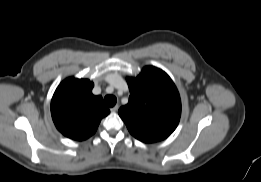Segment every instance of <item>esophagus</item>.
I'll return each mask as SVG.
<instances>
[{
  "label": "esophagus",
  "instance_id": "esophagus-1",
  "mask_svg": "<svg viewBox=\"0 0 261 182\" xmlns=\"http://www.w3.org/2000/svg\"><path fill=\"white\" fill-rule=\"evenodd\" d=\"M119 106L115 105L114 107H112L110 110L111 112L115 113L118 110Z\"/></svg>",
  "mask_w": 261,
  "mask_h": 182
}]
</instances>
